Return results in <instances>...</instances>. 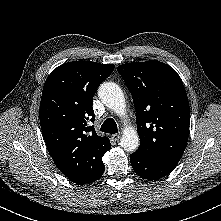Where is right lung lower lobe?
<instances>
[{
    "label": "right lung lower lobe",
    "mask_w": 221,
    "mask_h": 221,
    "mask_svg": "<svg viewBox=\"0 0 221 221\" xmlns=\"http://www.w3.org/2000/svg\"><path fill=\"white\" fill-rule=\"evenodd\" d=\"M103 172H104V171H103ZM103 172H102V173L98 176V178L95 179L94 181L98 180V179L102 176Z\"/></svg>",
    "instance_id": "obj_1"
}]
</instances>
